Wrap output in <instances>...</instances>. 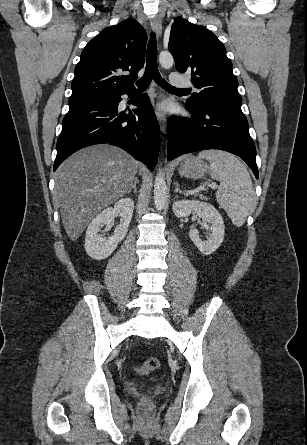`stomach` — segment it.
I'll list each match as a JSON object with an SVG mask.
<instances>
[{"label":"stomach","instance_id":"1","mask_svg":"<svg viewBox=\"0 0 307 445\" xmlns=\"http://www.w3.org/2000/svg\"><path fill=\"white\" fill-rule=\"evenodd\" d=\"M209 166L203 158L197 156H187L184 162L179 166V174L186 176V178H203Z\"/></svg>","mask_w":307,"mask_h":445}]
</instances>
